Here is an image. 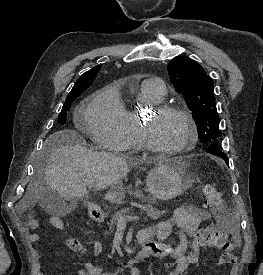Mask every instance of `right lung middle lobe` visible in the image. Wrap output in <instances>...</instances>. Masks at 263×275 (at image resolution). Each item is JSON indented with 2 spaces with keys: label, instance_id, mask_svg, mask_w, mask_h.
Here are the masks:
<instances>
[{
  "label": "right lung middle lobe",
  "instance_id": "right-lung-middle-lobe-1",
  "mask_svg": "<svg viewBox=\"0 0 263 275\" xmlns=\"http://www.w3.org/2000/svg\"><path fill=\"white\" fill-rule=\"evenodd\" d=\"M86 89L87 88L81 89V90L67 96L66 102L64 103L62 110L58 117L59 123L64 124L66 122L67 112L69 111L72 102L74 101L75 98H77Z\"/></svg>",
  "mask_w": 263,
  "mask_h": 275
}]
</instances>
